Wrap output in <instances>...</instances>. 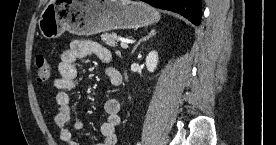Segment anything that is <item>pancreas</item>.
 <instances>
[{"label":"pancreas","instance_id":"pancreas-1","mask_svg":"<svg viewBox=\"0 0 276 145\" xmlns=\"http://www.w3.org/2000/svg\"><path fill=\"white\" fill-rule=\"evenodd\" d=\"M101 39L103 42L106 43V45L110 47H116L117 46V34L116 33H105L101 35Z\"/></svg>","mask_w":276,"mask_h":145}]
</instances>
